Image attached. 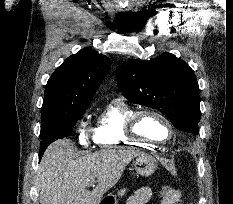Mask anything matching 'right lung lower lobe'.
Instances as JSON below:
<instances>
[{"label":"right lung lower lobe","instance_id":"1","mask_svg":"<svg viewBox=\"0 0 233 204\" xmlns=\"http://www.w3.org/2000/svg\"><path fill=\"white\" fill-rule=\"evenodd\" d=\"M47 147H48V146H46V147H41V150H40V153H39V160L41 159V157H42V155H43V153H44V151L46 150Z\"/></svg>","mask_w":233,"mask_h":204}]
</instances>
